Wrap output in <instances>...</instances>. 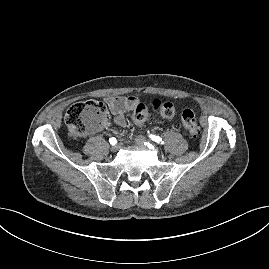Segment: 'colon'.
I'll use <instances>...</instances> for the list:
<instances>
[{
  "instance_id": "1",
  "label": "colon",
  "mask_w": 269,
  "mask_h": 269,
  "mask_svg": "<svg viewBox=\"0 0 269 269\" xmlns=\"http://www.w3.org/2000/svg\"><path fill=\"white\" fill-rule=\"evenodd\" d=\"M150 112L159 113L166 119H173L176 111L174 106L160 99H152L148 105L138 103L134 110V119L138 123L144 122ZM106 109L102 102L89 100L72 105L65 116L68 135L72 139H79L87 133L98 130L105 121ZM182 123L188 135L196 139L200 134L194 112L185 109L182 112Z\"/></svg>"
}]
</instances>
